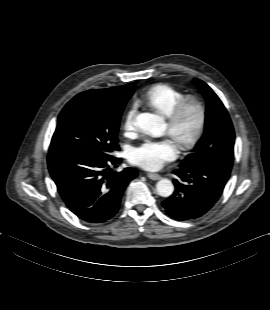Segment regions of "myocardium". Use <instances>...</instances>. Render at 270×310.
<instances>
[{"instance_id": "1", "label": "myocardium", "mask_w": 270, "mask_h": 310, "mask_svg": "<svg viewBox=\"0 0 270 310\" xmlns=\"http://www.w3.org/2000/svg\"><path fill=\"white\" fill-rule=\"evenodd\" d=\"M192 113L195 117L193 127L186 131L184 119ZM206 124V110L204 105L196 98H184L167 116L169 133L181 144L183 148H190L202 135Z\"/></svg>"}]
</instances>
